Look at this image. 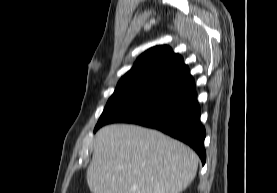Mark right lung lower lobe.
Returning a JSON list of instances; mask_svg holds the SVG:
<instances>
[{
  "label": "right lung lower lobe",
  "instance_id": "1",
  "mask_svg": "<svg viewBox=\"0 0 277 193\" xmlns=\"http://www.w3.org/2000/svg\"><path fill=\"white\" fill-rule=\"evenodd\" d=\"M200 114L194 79L189 76L147 94L103 125L125 122L160 130L191 146L204 165L206 131L200 122Z\"/></svg>",
  "mask_w": 277,
  "mask_h": 193
}]
</instances>
